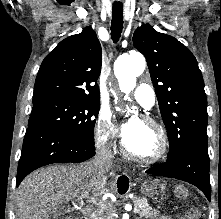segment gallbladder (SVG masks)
<instances>
[{
	"label": "gallbladder",
	"instance_id": "gallbladder-1",
	"mask_svg": "<svg viewBox=\"0 0 221 219\" xmlns=\"http://www.w3.org/2000/svg\"><path fill=\"white\" fill-rule=\"evenodd\" d=\"M67 208H59L55 213H53L51 216L53 219H58L60 215H63L67 212Z\"/></svg>",
	"mask_w": 221,
	"mask_h": 219
}]
</instances>
